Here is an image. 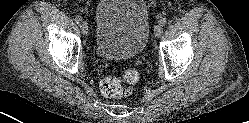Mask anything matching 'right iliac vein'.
<instances>
[{
	"instance_id": "obj_1",
	"label": "right iliac vein",
	"mask_w": 249,
	"mask_h": 123,
	"mask_svg": "<svg viewBox=\"0 0 249 123\" xmlns=\"http://www.w3.org/2000/svg\"><path fill=\"white\" fill-rule=\"evenodd\" d=\"M80 29L84 35L88 33V25L86 22H81L80 23Z\"/></svg>"
}]
</instances>
